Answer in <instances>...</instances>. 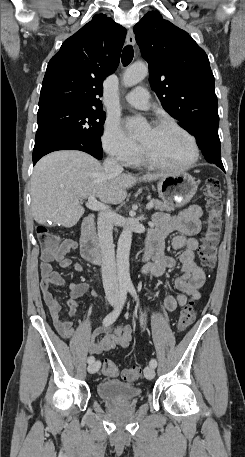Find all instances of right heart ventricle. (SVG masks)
Returning <instances> with one entry per match:
<instances>
[{
	"instance_id": "e07e8e85",
	"label": "right heart ventricle",
	"mask_w": 245,
	"mask_h": 457,
	"mask_svg": "<svg viewBox=\"0 0 245 457\" xmlns=\"http://www.w3.org/2000/svg\"><path fill=\"white\" fill-rule=\"evenodd\" d=\"M131 162L135 163L136 161H133V160H132Z\"/></svg>"
}]
</instances>
